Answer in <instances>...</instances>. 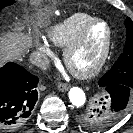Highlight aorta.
Listing matches in <instances>:
<instances>
[{
  "instance_id": "obj_1",
  "label": "aorta",
  "mask_w": 133,
  "mask_h": 133,
  "mask_svg": "<svg viewBox=\"0 0 133 133\" xmlns=\"http://www.w3.org/2000/svg\"><path fill=\"white\" fill-rule=\"evenodd\" d=\"M69 100L76 107L83 106L86 102L84 91L79 87H72L69 90Z\"/></svg>"
}]
</instances>
